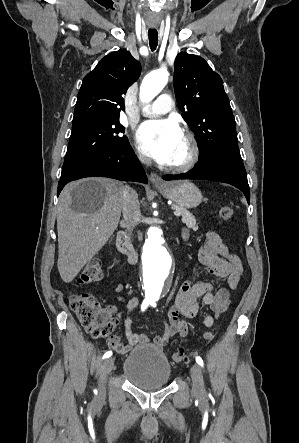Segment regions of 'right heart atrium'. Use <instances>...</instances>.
I'll return each mask as SVG.
<instances>
[{
  "mask_svg": "<svg viewBox=\"0 0 299 443\" xmlns=\"http://www.w3.org/2000/svg\"><path fill=\"white\" fill-rule=\"evenodd\" d=\"M137 158L142 163H147L148 162L147 157L143 153H141V152L137 153Z\"/></svg>",
  "mask_w": 299,
  "mask_h": 443,
  "instance_id": "d8ad5b80",
  "label": "right heart atrium"
}]
</instances>
